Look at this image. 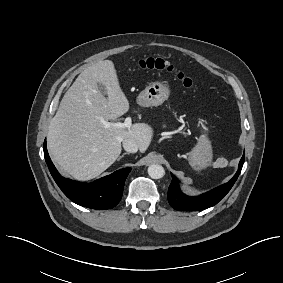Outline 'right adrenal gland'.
<instances>
[{"label":"right adrenal gland","mask_w":283,"mask_h":283,"mask_svg":"<svg viewBox=\"0 0 283 283\" xmlns=\"http://www.w3.org/2000/svg\"><path fill=\"white\" fill-rule=\"evenodd\" d=\"M129 154L128 152L123 153L118 159L117 161L121 160L125 155Z\"/></svg>","instance_id":"obj_1"}]
</instances>
